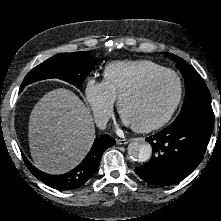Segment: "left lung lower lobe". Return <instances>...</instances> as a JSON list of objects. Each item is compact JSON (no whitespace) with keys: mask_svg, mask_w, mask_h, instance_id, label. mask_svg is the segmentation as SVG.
<instances>
[{"mask_svg":"<svg viewBox=\"0 0 221 221\" xmlns=\"http://www.w3.org/2000/svg\"><path fill=\"white\" fill-rule=\"evenodd\" d=\"M213 125V112L196 110L146 138L152 145L153 155L135 172L153 185L181 181L202 161Z\"/></svg>","mask_w":221,"mask_h":221,"instance_id":"obj_1","label":"left lung lower lobe"}]
</instances>
